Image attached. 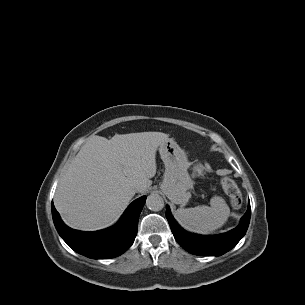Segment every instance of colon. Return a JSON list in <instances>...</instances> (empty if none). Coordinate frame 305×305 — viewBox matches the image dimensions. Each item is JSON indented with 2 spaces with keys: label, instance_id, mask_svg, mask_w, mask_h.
Segmentation results:
<instances>
[{
  "label": "colon",
  "instance_id": "1",
  "mask_svg": "<svg viewBox=\"0 0 305 305\" xmlns=\"http://www.w3.org/2000/svg\"><path fill=\"white\" fill-rule=\"evenodd\" d=\"M221 186L230 203L234 207L240 206L242 202V196L235 181L231 177L225 175L221 178Z\"/></svg>",
  "mask_w": 305,
  "mask_h": 305
}]
</instances>
